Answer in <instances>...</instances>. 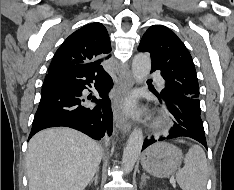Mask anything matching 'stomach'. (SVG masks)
<instances>
[{"mask_svg":"<svg viewBox=\"0 0 234 190\" xmlns=\"http://www.w3.org/2000/svg\"><path fill=\"white\" fill-rule=\"evenodd\" d=\"M181 161L182 151L167 142L153 144L141 158L143 169L159 178L171 175L180 166Z\"/></svg>","mask_w":234,"mask_h":190,"instance_id":"stomach-1","label":"stomach"}]
</instances>
